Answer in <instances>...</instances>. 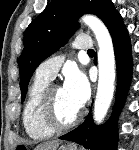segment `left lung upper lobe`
Segmentation results:
<instances>
[{
	"mask_svg": "<svg viewBox=\"0 0 139 150\" xmlns=\"http://www.w3.org/2000/svg\"><path fill=\"white\" fill-rule=\"evenodd\" d=\"M111 0H52L28 26L24 49L18 59L21 102L36 67L63 46L78 28L77 20L86 13L97 15L105 22L113 8Z\"/></svg>",
	"mask_w": 139,
	"mask_h": 150,
	"instance_id": "obj_1",
	"label": "left lung upper lobe"
}]
</instances>
